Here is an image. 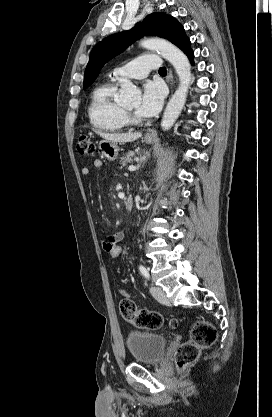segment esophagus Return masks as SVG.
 Segmentation results:
<instances>
[{
    "label": "esophagus",
    "mask_w": 272,
    "mask_h": 417,
    "mask_svg": "<svg viewBox=\"0 0 272 417\" xmlns=\"http://www.w3.org/2000/svg\"><path fill=\"white\" fill-rule=\"evenodd\" d=\"M168 81L170 82V85L172 86L173 85V75H172L171 71H169V74H168ZM153 135H154L153 131H149L147 133V136H153Z\"/></svg>",
    "instance_id": "1"
}]
</instances>
